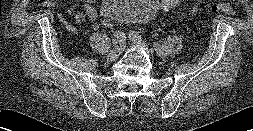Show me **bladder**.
<instances>
[{"label":"bladder","instance_id":"31cf9c89","mask_svg":"<svg viewBox=\"0 0 253 131\" xmlns=\"http://www.w3.org/2000/svg\"><path fill=\"white\" fill-rule=\"evenodd\" d=\"M157 5L152 0H105L102 12L109 21L147 20L157 14Z\"/></svg>","mask_w":253,"mask_h":131}]
</instances>
